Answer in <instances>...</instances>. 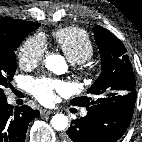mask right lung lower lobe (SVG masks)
I'll list each match as a JSON object with an SVG mask.
<instances>
[{
    "mask_svg": "<svg viewBox=\"0 0 142 142\" xmlns=\"http://www.w3.org/2000/svg\"><path fill=\"white\" fill-rule=\"evenodd\" d=\"M38 116L27 105L13 110L6 97L0 98V142H24L29 122Z\"/></svg>",
    "mask_w": 142,
    "mask_h": 142,
    "instance_id": "right-lung-lower-lobe-1",
    "label": "right lung lower lobe"
}]
</instances>
